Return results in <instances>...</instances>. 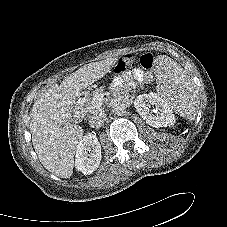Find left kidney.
<instances>
[{
  "label": "left kidney",
  "mask_w": 227,
  "mask_h": 227,
  "mask_svg": "<svg viewBox=\"0 0 227 227\" xmlns=\"http://www.w3.org/2000/svg\"><path fill=\"white\" fill-rule=\"evenodd\" d=\"M134 107L146 123L152 127H167L175 123L172 110L157 93L151 92L137 96L134 100Z\"/></svg>",
  "instance_id": "5707ae66"
}]
</instances>
